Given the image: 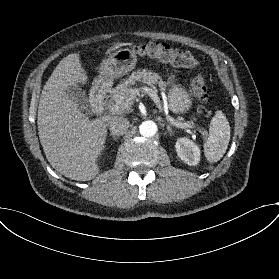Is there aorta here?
Returning a JSON list of instances; mask_svg holds the SVG:
<instances>
[{
	"label": "aorta",
	"instance_id": "762f6f07",
	"mask_svg": "<svg viewBox=\"0 0 279 279\" xmlns=\"http://www.w3.org/2000/svg\"><path fill=\"white\" fill-rule=\"evenodd\" d=\"M157 125L151 120H147L141 123L139 126V132L144 137L154 136L157 132Z\"/></svg>",
	"mask_w": 279,
	"mask_h": 279
}]
</instances>
